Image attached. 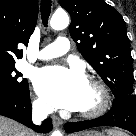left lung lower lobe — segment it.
I'll list each match as a JSON object with an SVG mask.
<instances>
[{"mask_svg": "<svg viewBox=\"0 0 136 136\" xmlns=\"http://www.w3.org/2000/svg\"><path fill=\"white\" fill-rule=\"evenodd\" d=\"M97 126H116L136 136V95L117 96L111 110L105 115L93 120L69 122L64 127L67 132H76Z\"/></svg>", "mask_w": 136, "mask_h": 136, "instance_id": "obj_1", "label": "left lung lower lobe"}]
</instances>
